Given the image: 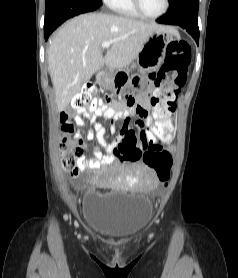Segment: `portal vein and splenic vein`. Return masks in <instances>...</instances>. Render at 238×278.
I'll return each instance as SVG.
<instances>
[{
	"instance_id": "18ae733b",
	"label": "portal vein and splenic vein",
	"mask_w": 238,
	"mask_h": 278,
	"mask_svg": "<svg viewBox=\"0 0 238 278\" xmlns=\"http://www.w3.org/2000/svg\"><path fill=\"white\" fill-rule=\"evenodd\" d=\"M112 41H105L101 44L102 48L108 49L111 45Z\"/></svg>"
}]
</instances>
